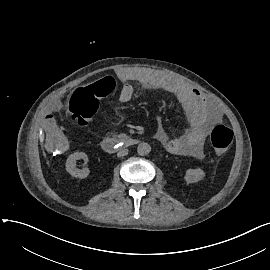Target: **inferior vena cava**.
<instances>
[{
  "mask_svg": "<svg viewBox=\"0 0 270 270\" xmlns=\"http://www.w3.org/2000/svg\"><path fill=\"white\" fill-rule=\"evenodd\" d=\"M129 150L128 149H120L117 153V157H123L128 154Z\"/></svg>",
  "mask_w": 270,
  "mask_h": 270,
  "instance_id": "602c4592",
  "label": "inferior vena cava"
}]
</instances>
